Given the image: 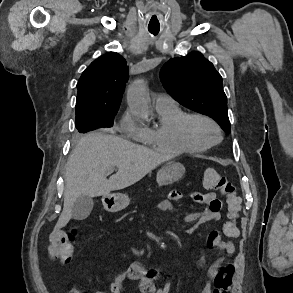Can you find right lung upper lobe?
I'll use <instances>...</instances> for the list:
<instances>
[{"label": "right lung upper lobe", "instance_id": "cb5924a9", "mask_svg": "<svg viewBox=\"0 0 293 293\" xmlns=\"http://www.w3.org/2000/svg\"><path fill=\"white\" fill-rule=\"evenodd\" d=\"M128 76L127 63L118 53L108 52L93 61L77 83L76 111L117 112Z\"/></svg>", "mask_w": 293, "mask_h": 293}]
</instances>
